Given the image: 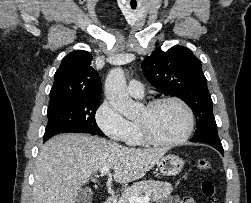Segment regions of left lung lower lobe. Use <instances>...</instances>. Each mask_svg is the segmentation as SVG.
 I'll return each instance as SVG.
<instances>
[{
    "label": "left lung lower lobe",
    "instance_id": "left-lung-lower-lobe-1",
    "mask_svg": "<svg viewBox=\"0 0 251 203\" xmlns=\"http://www.w3.org/2000/svg\"><path fill=\"white\" fill-rule=\"evenodd\" d=\"M191 141V140H190ZM210 144L211 146H213L215 149H217L222 155H224V150H223V147H222V144L221 143H208Z\"/></svg>",
    "mask_w": 251,
    "mask_h": 203
}]
</instances>
